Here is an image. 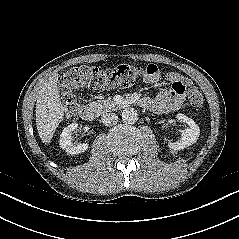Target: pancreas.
<instances>
[{"label": "pancreas", "mask_w": 239, "mask_h": 239, "mask_svg": "<svg viewBox=\"0 0 239 239\" xmlns=\"http://www.w3.org/2000/svg\"><path fill=\"white\" fill-rule=\"evenodd\" d=\"M90 105L94 107L98 112H107L114 110L117 104L111 98H108L91 102Z\"/></svg>", "instance_id": "1"}]
</instances>
